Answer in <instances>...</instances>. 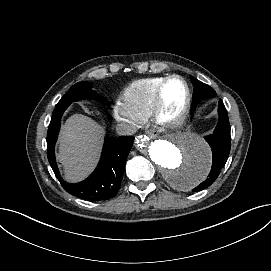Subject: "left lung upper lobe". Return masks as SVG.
<instances>
[{
	"instance_id": "left-lung-upper-lobe-1",
	"label": "left lung upper lobe",
	"mask_w": 271,
	"mask_h": 271,
	"mask_svg": "<svg viewBox=\"0 0 271 271\" xmlns=\"http://www.w3.org/2000/svg\"><path fill=\"white\" fill-rule=\"evenodd\" d=\"M190 79L194 85L192 109H194L201 100L215 97L216 93L209 85L196 80L192 76H190Z\"/></svg>"
}]
</instances>
